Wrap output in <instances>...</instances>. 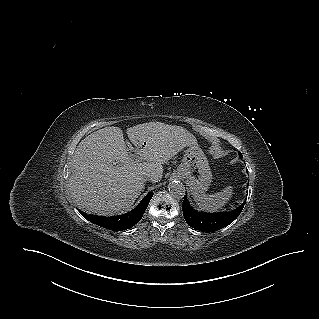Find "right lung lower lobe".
Wrapping results in <instances>:
<instances>
[{
    "mask_svg": "<svg viewBox=\"0 0 319 319\" xmlns=\"http://www.w3.org/2000/svg\"><path fill=\"white\" fill-rule=\"evenodd\" d=\"M153 193L150 192L143 198L138 206L132 211L119 216H96L88 215L81 211V214L90 222L113 231H122L133 227L143 216Z\"/></svg>",
    "mask_w": 319,
    "mask_h": 319,
    "instance_id": "1",
    "label": "right lung lower lobe"
}]
</instances>
